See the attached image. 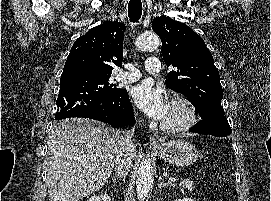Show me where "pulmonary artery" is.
I'll use <instances>...</instances> for the list:
<instances>
[{"instance_id":"1","label":"pulmonary artery","mask_w":271,"mask_h":201,"mask_svg":"<svg viewBox=\"0 0 271 201\" xmlns=\"http://www.w3.org/2000/svg\"><path fill=\"white\" fill-rule=\"evenodd\" d=\"M146 71L150 74L159 73L161 68L160 60L157 57H149L145 64ZM127 71H121L117 79L124 83H132L141 78V73L133 65H126Z\"/></svg>"}]
</instances>
